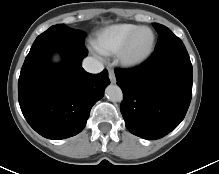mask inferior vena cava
Returning <instances> with one entry per match:
<instances>
[{"mask_svg": "<svg viewBox=\"0 0 219 174\" xmlns=\"http://www.w3.org/2000/svg\"><path fill=\"white\" fill-rule=\"evenodd\" d=\"M82 66L87 72L93 74L100 73L104 68L103 64L93 57L85 58Z\"/></svg>", "mask_w": 219, "mask_h": 174, "instance_id": "602c4592", "label": "inferior vena cava"}]
</instances>
